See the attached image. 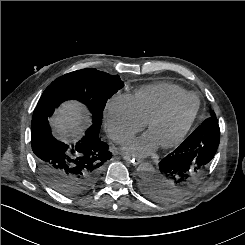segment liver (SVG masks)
Masks as SVG:
<instances>
[{"instance_id":"6515ba94","label":"liver","mask_w":245,"mask_h":245,"mask_svg":"<svg viewBox=\"0 0 245 245\" xmlns=\"http://www.w3.org/2000/svg\"><path fill=\"white\" fill-rule=\"evenodd\" d=\"M84 110L76 102L63 104L51 119L52 126L61 139L77 137L82 131Z\"/></svg>"}]
</instances>
